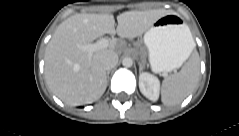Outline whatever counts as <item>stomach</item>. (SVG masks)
<instances>
[{
	"label": "stomach",
	"instance_id": "1",
	"mask_svg": "<svg viewBox=\"0 0 239 136\" xmlns=\"http://www.w3.org/2000/svg\"><path fill=\"white\" fill-rule=\"evenodd\" d=\"M190 35L178 14L170 13L157 19L144 35L152 70L159 73L179 68L192 50Z\"/></svg>",
	"mask_w": 239,
	"mask_h": 136
}]
</instances>
